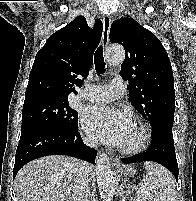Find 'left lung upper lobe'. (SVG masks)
Returning <instances> with one entry per match:
<instances>
[{
    "instance_id": "1",
    "label": "left lung upper lobe",
    "mask_w": 196,
    "mask_h": 201,
    "mask_svg": "<svg viewBox=\"0 0 196 201\" xmlns=\"http://www.w3.org/2000/svg\"><path fill=\"white\" fill-rule=\"evenodd\" d=\"M111 43L125 49L121 77L129 82L131 104L150 122L152 130L172 127L175 111L170 60L160 40L132 18L115 20Z\"/></svg>"
}]
</instances>
